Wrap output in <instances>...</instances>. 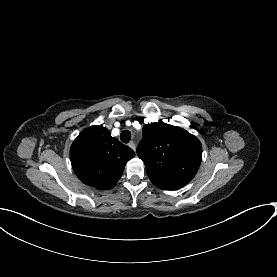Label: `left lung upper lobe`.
I'll list each match as a JSON object with an SVG mask.
<instances>
[{"mask_svg":"<svg viewBox=\"0 0 277 277\" xmlns=\"http://www.w3.org/2000/svg\"><path fill=\"white\" fill-rule=\"evenodd\" d=\"M142 133L137 154L156 187L176 190L192 180L202 158L201 143L194 135L161 120L144 125Z\"/></svg>","mask_w":277,"mask_h":277,"instance_id":"1","label":"left lung upper lobe"}]
</instances>
